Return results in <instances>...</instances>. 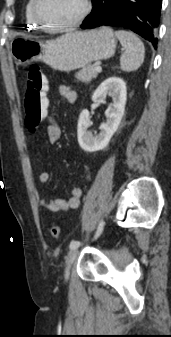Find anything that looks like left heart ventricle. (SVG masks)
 Segmentation results:
<instances>
[{"label":"left heart ventricle","mask_w":171,"mask_h":337,"mask_svg":"<svg viewBox=\"0 0 171 337\" xmlns=\"http://www.w3.org/2000/svg\"><path fill=\"white\" fill-rule=\"evenodd\" d=\"M83 9V0H41L40 13L52 25L74 20Z\"/></svg>","instance_id":"1"}]
</instances>
